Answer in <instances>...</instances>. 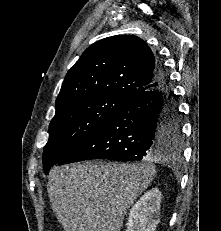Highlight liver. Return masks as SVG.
<instances>
[{
	"instance_id": "liver-1",
	"label": "liver",
	"mask_w": 221,
	"mask_h": 231,
	"mask_svg": "<svg viewBox=\"0 0 221 231\" xmlns=\"http://www.w3.org/2000/svg\"><path fill=\"white\" fill-rule=\"evenodd\" d=\"M144 163L83 162L51 170L47 191L64 231H120L127 210L153 181L152 161Z\"/></svg>"
}]
</instances>
